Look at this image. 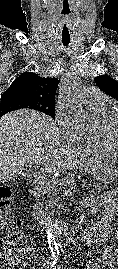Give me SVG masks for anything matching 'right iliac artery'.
Here are the masks:
<instances>
[{
    "label": "right iliac artery",
    "instance_id": "1",
    "mask_svg": "<svg viewBox=\"0 0 118 269\" xmlns=\"http://www.w3.org/2000/svg\"><path fill=\"white\" fill-rule=\"evenodd\" d=\"M58 257L57 256H52L49 261H47V265L50 267H53L55 263L57 262Z\"/></svg>",
    "mask_w": 118,
    "mask_h": 269
}]
</instances>
